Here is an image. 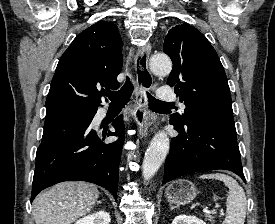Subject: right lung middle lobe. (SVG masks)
Here are the masks:
<instances>
[{"mask_svg":"<svg viewBox=\"0 0 275 224\" xmlns=\"http://www.w3.org/2000/svg\"><path fill=\"white\" fill-rule=\"evenodd\" d=\"M95 112L96 109L64 108L46 113V120L65 117L87 119L92 117Z\"/></svg>","mask_w":275,"mask_h":224,"instance_id":"dd1d6c3e","label":"right lung middle lobe"}]
</instances>
